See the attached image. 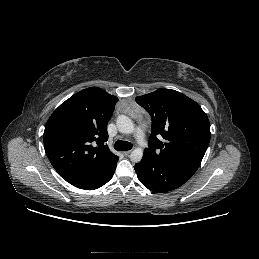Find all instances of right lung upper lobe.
<instances>
[{
  "label": "right lung upper lobe",
  "instance_id": "cb5924a9",
  "mask_svg": "<svg viewBox=\"0 0 259 259\" xmlns=\"http://www.w3.org/2000/svg\"><path fill=\"white\" fill-rule=\"evenodd\" d=\"M117 101L106 91L90 87L63 102L47 121L46 155L73 186L99 178L117 164L119 157L105 145L107 124Z\"/></svg>",
  "mask_w": 259,
  "mask_h": 259
}]
</instances>
